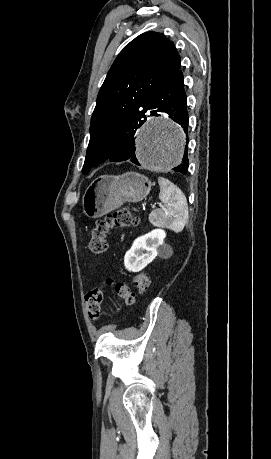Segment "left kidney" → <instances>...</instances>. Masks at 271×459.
I'll return each mask as SVG.
<instances>
[{
	"label": "left kidney",
	"instance_id": "obj_1",
	"mask_svg": "<svg viewBox=\"0 0 271 459\" xmlns=\"http://www.w3.org/2000/svg\"><path fill=\"white\" fill-rule=\"evenodd\" d=\"M165 231L153 229L133 241L130 249L124 255V265L129 271H140L157 255L160 245H163Z\"/></svg>",
	"mask_w": 271,
	"mask_h": 459
}]
</instances>
